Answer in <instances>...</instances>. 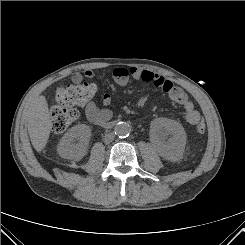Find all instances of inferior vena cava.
Segmentation results:
<instances>
[{"label":"inferior vena cava","instance_id":"602c4592","mask_svg":"<svg viewBox=\"0 0 245 245\" xmlns=\"http://www.w3.org/2000/svg\"><path fill=\"white\" fill-rule=\"evenodd\" d=\"M114 138H115V135H114V133H107L106 135H105V139H104V141H105V143H111L113 140H114Z\"/></svg>","mask_w":245,"mask_h":245}]
</instances>
